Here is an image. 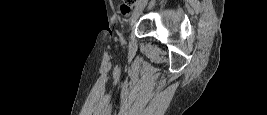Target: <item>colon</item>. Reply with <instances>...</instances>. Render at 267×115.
Here are the masks:
<instances>
[{
	"label": "colon",
	"instance_id": "obj_1",
	"mask_svg": "<svg viewBox=\"0 0 267 115\" xmlns=\"http://www.w3.org/2000/svg\"><path fill=\"white\" fill-rule=\"evenodd\" d=\"M118 14L122 19H128L131 15V7L127 3H122L118 7Z\"/></svg>",
	"mask_w": 267,
	"mask_h": 115
}]
</instances>
